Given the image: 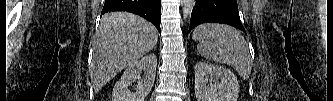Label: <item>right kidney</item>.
<instances>
[{
  "instance_id": "right-kidney-1",
  "label": "right kidney",
  "mask_w": 333,
  "mask_h": 101,
  "mask_svg": "<svg viewBox=\"0 0 333 101\" xmlns=\"http://www.w3.org/2000/svg\"><path fill=\"white\" fill-rule=\"evenodd\" d=\"M157 67V58L154 54H149L141 60H136L128 65L120 80L115 84L112 101H144L150 93L154 84ZM145 71V77H141V72ZM138 79L137 90L130 92L128 87Z\"/></svg>"
}]
</instances>
